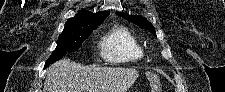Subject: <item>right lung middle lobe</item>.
<instances>
[{
	"label": "right lung middle lobe",
	"instance_id": "1",
	"mask_svg": "<svg viewBox=\"0 0 225 92\" xmlns=\"http://www.w3.org/2000/svg\"><path fill=\"white\" fill-rule=\"evenodd\" d=\"M103 22L104 19L75 29L63 30L59 35L57 47L47 59L44 68L60 60L67 53L77 51L83 41Z\"/></svg>",
	"mask_w": 225,
	"mask_h": 92
}]
</instances>
